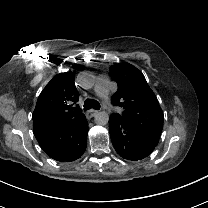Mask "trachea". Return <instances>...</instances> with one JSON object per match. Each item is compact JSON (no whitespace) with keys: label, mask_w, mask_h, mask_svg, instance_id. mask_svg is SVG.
I'll use <instances>...</instances> for the list:
<instances>
[{"label":"trachea","mask_w":208,"mask_h":208,"mask_svg":"<svg viewBox=\"0 0 208 208\" xmlns=\"http://www.w3.org/2000/svg\"><path fill=\"white\" fill-rule=\"evenodd\" d=\"M91 108L95 110H99L100 109L99 102L94 99H86L84 102V110H89Z\"/></svg>","instance_id":"trachea-1"}]
</instances>
